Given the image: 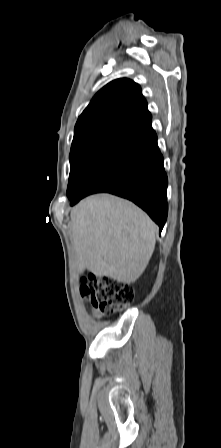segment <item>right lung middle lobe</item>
Wrapping results in <instances>:
<instances>
[{"mask_svg": "<svg viewBox=\"0 0 221 448\" xmlns=\"http://www.w3.org/2000/svg\"><path fill=\"white\" fill-rule=\"evenodd\" d=\"M115 144L86 145L70 152V175L67 196L74 199L84 182Z\"/></svg>", "mask_w": 221, "mask_h": 448, "instance_id": "1", "label": "right lung middle lobe"}]
</instances>
